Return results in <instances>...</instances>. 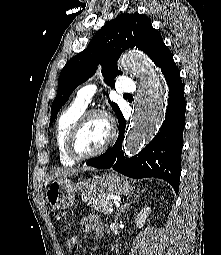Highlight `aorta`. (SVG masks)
<instances>
[{
  "mask_svg": "<svg viewBox=\"0 0 221 255\" xmlns=\"http://www.w3.org/2000/svg\"><path fill=\"white\" fill-rule=\"evenodd\" d=\"M119 65L139 81L131 122L123 150L127 156L136 155L143 144L152 140L158 132L165 115L167 90L158 70L143 53H125Z\"/></svg>",
  "mask_w": 221,
  "mask_h": 255,
  "instance_id": "obj_1",
  "label": "aorta"
}]
</instances>
